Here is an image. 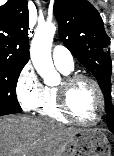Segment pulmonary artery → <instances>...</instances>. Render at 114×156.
<instances>
[{"label":"pulmonary artery","instance_id":"pulmonary-artery-1","mask_svg":"<svg viewBox=\"0 0 114 156\" xmlns=\"http://www.w3.org/2000/svg\"><path fill=\"white\" fill-rule=\"evenodd\" d=\"M52 59L56 67L66 70L74 68V59L71 52L64 46L57 45L52 51Z\"/></svg>","mask_w":114,"mask_h":156}]
</instances>
